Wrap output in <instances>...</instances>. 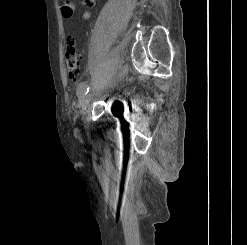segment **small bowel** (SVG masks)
I'll return each mask as SVG.
<instances>
[{"mask_svg":"<svg viewBox=\"0 0 247 245\" xmlns=\"http://www.w3.org/2000/svg\"><path fill=\"white\" fill-rule=\"evenodd\" d=\"M83 4L86 7L91 8L94 6L95 0H83ZM73 10H74L73 3L70 0H63V3L61 5V12L63 17L71 18L73 16ZM90 15L91 13L89 11H86L82 17L83 19H88Z\"/></svg>","mask_w":247,"mask_h":245,"instance_id":"c3829d8e","label":"small bowel"}]
</instances>
